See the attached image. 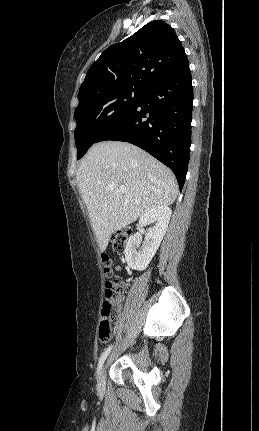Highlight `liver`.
Returning a JSON list of instances; mask_svg holds the SVG:
<instances>
[{
    "mask_svg": "<svg viewBox=\"0 0 259 431\" xmlns=\"http://www.w3.org/2000/svg\"><path fill=\"white\" fill-rule=\"evenodd\" d=\"M100 251L115 231L147 211L171 205L178 193L172 171L141 148L121 141L93 145L76 173ZM124 186L127 192H120Z\"/></svg>",
    "mask_w": 259,
    "mask_h": 431,
    "instance_id": "1",
    "label": "liver"
}]
</instances>
